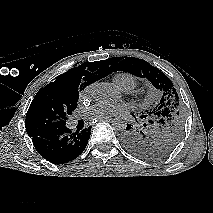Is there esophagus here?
Segmentation results:
<instances>
[{
	"label": "esophagus",
	"instance_id": "esophagus-1",
	"mask_svg": "<svg viewBox=\"0 0 213 213\" xmlns=\"http://www.w3.org/2000/svg\"><path fill=\"white\" fill-rule=\"evenodd\" d=\"M113 118L112 117H107V118H102V119H98L99 121H102V120H112Z\"/></svg>",
	"mask_w": 213,
	"mask_h": 213
}]
</instances>
